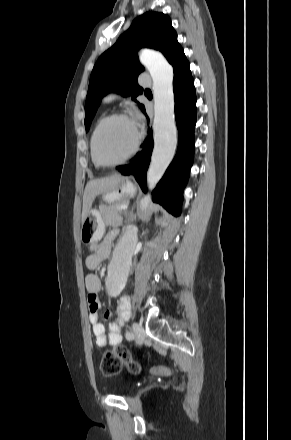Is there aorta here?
Here are the masks:
<instances>
[{"instance_id": "762f6f07", "label": "aorta", "mask_w": 291, "mask_h": 440, "mask_svg": "<svg viewBox=\"0 0 291 440\" xmlns=\"http://www.w3.org/2000/svg\"><path fill=\"white\" fill-rule=\"evenodd\" d=\"M141 63L153 80L154 97V148L147 171L149 189L154 188L172 161L177 148V128L174 114L173 68L159 53L148 49L139 54ZM150 196L141 200L140 207L147 209ZM138 228L130 225L117 242L108 273L106 287L110 295L119 294L126 285L132 255L138 239Z\"/></svg>"}]
</instances>
